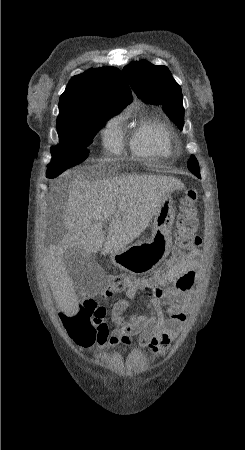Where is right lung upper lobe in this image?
<instances>
[{"label":"right lung upper lobe","instance_id":"right-lung-upper-lobe-1","mask_svg":"<svg viewBox=\"0 0 245 450\" xmlns=\"http://www.w3.org/2000/svg\"><path fill=\"white\" fill-rule=\"evenodd\" d=\"M132 102L130 88L115 67L89 69L69 81L59 99V117L82 112L94 104L125 107Z\"/></svg>","mask_w":245,"mask_h":450}]
</instances>
